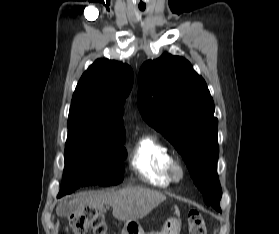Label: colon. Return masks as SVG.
Instances as JSON below:
<instances>
[{
  "label": "colon",
  "mask_w": 279,
  "mask_h": 234,
  "mask_svg": "<svg viewBox=\"0 0 279 234\" xmlns=\"http://www.w3.org/2000/svg\"><path fill=\"white\" fill-rule=\"evenodd\" d=\"M107 234V224L103 215L91 208H82L73 214L66 234ZM188 234H207V226L203 216L195 210L188 215Z\"/></svg>",
  "instance_id": "obj_1"
}]
</instances>
